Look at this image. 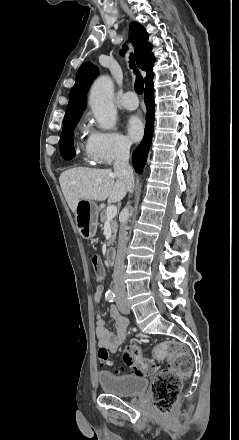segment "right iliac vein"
Here are the masks:
<instances>
[{"label":"right iliac vein","mask_w":239,"mask_h":440,"mask_svg":"<svg viewBox=\"0 0 239 440\" xmlns=\"http://www.w3.org/2000/svg\"><path fill=\"white\" fill-rule=\"evenodd\" d=\"M124 306H125L126 308H129L127 304H124Z\"/></svg>","instance_id":"obj_1"}]
</instances>
